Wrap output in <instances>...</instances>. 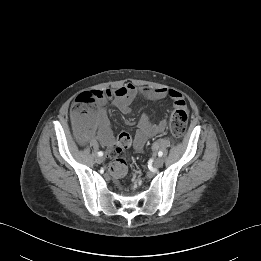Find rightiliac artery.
Listing matches in <instances>:
<instances>
[{"label": "right iliac artery", "mask_w": 261, "mask_h": 261, "mask_svg": "<svg viewBox=\"0 0 261 261\" xmlns=\"http://www.w3.org/2000/svg\"><path fill=\"white\" fill-rule=\"evenodd\" d=\"M98 156H103V152H102V151H99V152H98Z\"/></svg>", "instance_id": "1"}]
</instances>
